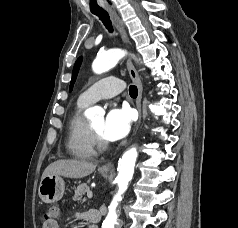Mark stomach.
<instances>
[{"label": "stomach", "mask_w": 238, "mask_h": 228, "mask_svg": "<svg viewBox=\"0 0 238 228\" xmlns=\"http://www.w3.org/2000/svg\"><path fill=\"white\" fill-rule=\"evenodd\" d=\"M103 175H108V171H102ZM65 191V182L61 176L48 175L41 179L38 194L42 201L54 203L59 201Z\"/></svg>", "instance_id": "stomach-1"}]
</instances>
